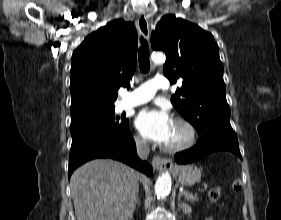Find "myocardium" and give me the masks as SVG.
Wrapping results in <instances>:
<instances>
[{"mask_svg":"<svg viewBox=\"0 0 281 220\" xmlns=\"http://www.w3.org/2000/svg\"><path fill=\"white\" fill-rule=\"evenodd\" d=\"M174 122L183 126L186 129L187 137H186L185 141H183L182 143H180L178 145H174V146L164 145L163 146L164 150L171 152V153L184 151V150L192 147L195 144L196 138H197V131L192 122H190L189 120H187L186 118H183V117L175 118Z\"/></svg>","mask_w":281,"mask_h":220,"instance_id":"1","label":"myocardium"}]
</instances>
